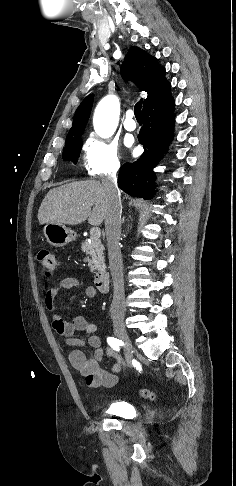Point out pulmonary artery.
<instances>
[{
  "label": "pulmonary artery",
  "mask_w": 236,
  "mask_h": 486,
  "mask_svg": "<svg viewBox=\"0 0 236 486\" xmlns=\"http://www.w3.org/2000/svg\"><path fill=\"white\" fill-rule=\"evenodd\" d=\"M123 125L127 131H134L136 129L137 125L134 120V112L132 110H128L126 112V117Z\"/></svg>",
  "instance_id": "1"
}]
</instances>
